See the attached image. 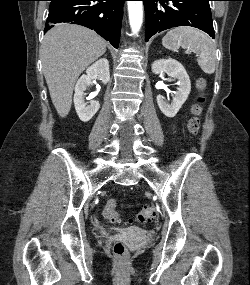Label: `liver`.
Listing matches in <instances>:
<instances>
[{
  "mask_svg": "<svg viewBox=\"0 0 250 285\" xmlns=\"http://www.w3.org/2000/svg\"><path fill=\"white\" fill-rule=\"evenodd\" d=\"M106 41L85 27L58 24L41 46L43 72L52 103L60 117L68 115L79 75L106 51Z\"/></svg>",
  "mask_w": 250,
  "mask_h": 285,
  "instance_id": "liver-1",
  "label": "liver"
}]
</instances>
